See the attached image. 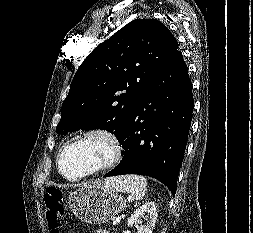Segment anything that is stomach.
I'll return each instance as SVG.
<instances>
[{
  "label": "stomach",
  "mask_w": 253,
  "mask_h": 233,
  "mask_svg": "<svg viewBox=\"0 0 253 233\" xmlns=\"http://www.w3.org/2000/svg\"><path fill=\"white\" fill-rule=\"evenodd\" d=\"M69 206L81 221L102 224L120 213L126 206V200L103 184L91 183L70 194Z\"/></svg>",
  "instance_id": "stomach-1"
}]
</instances>
